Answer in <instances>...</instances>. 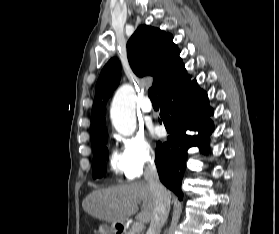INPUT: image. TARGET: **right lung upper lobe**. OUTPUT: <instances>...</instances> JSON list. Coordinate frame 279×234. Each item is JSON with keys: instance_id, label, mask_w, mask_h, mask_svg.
Listing matches in <instances>:
<instances>
[{"instance_id": "obj_1", "label": "right lung upper lobe", "mask_w": 279, "mask_h": 234, "mask_svg": "<svg viewBox=\"0 0 279 234\" xmlns=\"http://www.w3.org/2000/svg\"><path fill=\"white\" fill-rule=\"evenodd\" d=\"M179 53L171 34L147 25L139 26L127 43L132 70L138 76H153L158 94L185 69ZM120 70L118 59L112 58L96 83L90 126L92 144L107 136L105 103L120 82Z\"/></svg>"}]
</instances>
